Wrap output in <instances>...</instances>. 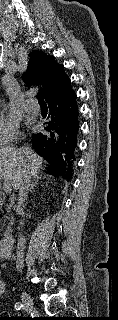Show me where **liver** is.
I'll return each mask as SVG.
<instances>
[{
    "mask_svg": "<svg viewBox=\"0 0 118 320\" xmlns=\"http://www.w3.org/2000/svg\"><path fill=\"white\" fill-rule=\"evenodd\" d=\"M43 159L35 153L30 158L24 157L20 149L3 147L0 148V178L8 180L14 189H19L25 173L35 177L41 167Z\"/></svg>",
    "mask_w": 118,
    "mask_h": 320,
    "instance_id": "obj_1",
    "label": "liver"
}]
</instances>
